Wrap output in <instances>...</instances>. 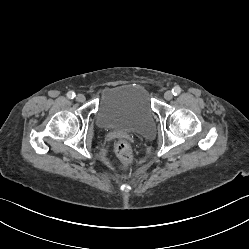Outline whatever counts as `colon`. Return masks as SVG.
Here are the masks:
<instances>
[{
	"label": "colon",
	"mask_w": 249,
	"mask_h": 249,
	"mask_svg": "<svg viewBox=\"0 0 249 249\" xmlns=\"http://www.w3.org/2000/svg\"><path fill=\"white\" fill-rule=\"evenodd\" d=\"M116 154L121 159L125 166H129L132 163V149L127 140H119L116 143Z\"/></svg>",
	"instance_id": "colon-1"
}]
</instances>
